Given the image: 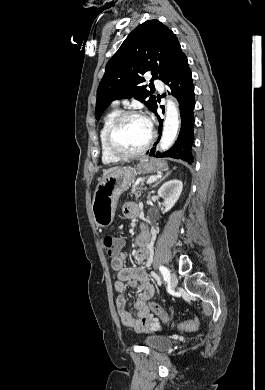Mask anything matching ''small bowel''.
I'll return each mask as SVG.
<instances>
[{
	"label": "small bowel",
	"instance_id": "small-bowel-1",
	"mask_svg": "<svg viewBox=\"0 0 265 390\" xmlns=\"http://www.w3.org/2000/svg\"><path fill=\"white\" fill-rule=\"evenodd\" d=\"M123 212L130 219L137 218L141 213L140 208L135 203L125 204ZM148 240L149 231L146 226H143L136 240L139 249L136 251L134 258L138 264L149 261L150 251L148 249ZM124 244L123 239H116L117 253L111 260V267L117 275L114 287L118 293H122L126 285L136 288V297L133 303L136 313L133 315L127 309L125 297L119 295L116 299L118 316L122 324L129 328L142 332L155 331L160 328V323L152 314L147 303L154 296L155 289L150 283L148 273L143 268L138 266H125L126 254L122 251Z\"/></svg>",
	"mask_w": 265,
	"mask_h": 390
}]
</instances>
